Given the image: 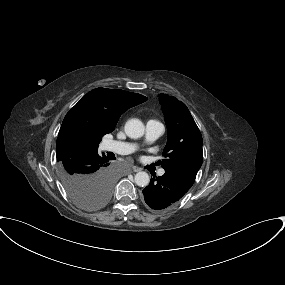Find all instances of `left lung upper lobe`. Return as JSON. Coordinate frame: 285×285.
Masks as SVG:
<instances>
[{
	"instance_id": "obj_1",
	"label": "left lung upper lobe",
	"mask_w": 285,
	"mask_h": 285,
	"mask_svg": "<svg viewBox=\"0 0 285 285\" xmlns=\"http://www.w3.org/2000/svg\"><path fill=\"white\" fill-rule=\"evenodd\" d=\"M159 102L168 129L162 167L191 187L203 160L201 133L183 102L163 93L159 95Z\"/></svg>"
}]
</instances>
